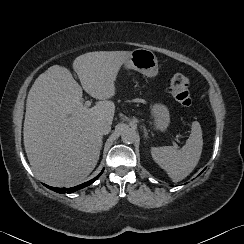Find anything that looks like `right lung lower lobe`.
<instances>
[{
    "label": "right lung lower lobe",
    "instance_id": "1",
    "mask_svg": "<svg viewBox=\"0 0 244 244\" xmlns=\"http://www.w3.org/2000/svg\"><path fill=\"white\" fill-rule=\"evenodd\" d=\"M103 171H104V169L101 171V173L97 177L91 179L90 181L85 182V183H83L81 185H78L76 187L68 188V189H66V188H54V187H50V186L45 185V184L44 185L47 188H49V189H51V190H53L55 192H58V193H65V192H67V193H73L76 190L82 189V188H84V187L89 186L90 184H92L95 180H97L101 176V174L103 173Z\"/></svg>",
    "mask_w": 244,
    "mask_h": 244
}]
</instances>
